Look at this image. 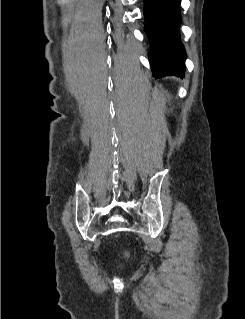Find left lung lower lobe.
<instances>
[{
    "label": "left lung lower lobe",
    "instance_id": "0a47b994",
    "mask_svg": "<svg viewBox=\"0 0 245 319\" xmlns=\"http://www.w3.org/2000/svg\"><path fill=\"white\" fill-rule=\"evenodd\" d=\"M181 0H144L145 29L152 49L149 60L156 78L184 75L186 58L179 37Z\"/></svg>",
    "mask_w": 245,
    "mask_h": 319
}]
</instances>
